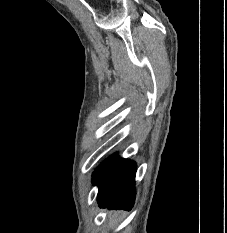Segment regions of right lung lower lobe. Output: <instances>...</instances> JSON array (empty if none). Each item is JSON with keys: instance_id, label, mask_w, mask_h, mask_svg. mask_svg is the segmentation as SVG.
<instances>
[{"instance_id": "obj_1", "label": "right lung lower lobe", "mask_w": 227, "mask_h": 233, "mask_svg": "<svg viewBox=\"0 0 227 233\" xmlns=\"http://www.w3.org/2000/svg\"><path fill=\"white\" fill-rule=\"evenodd\" d=\"M136 164L117 153L96 168L93 182L98 185L100 207L131 209L135 199Z\"/></svg>"}]
</instances>
